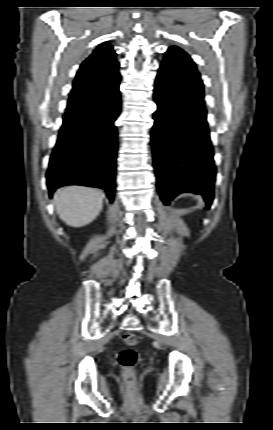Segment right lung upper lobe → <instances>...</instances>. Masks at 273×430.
Wrapping results in <instances>:
<instances>
[{
    "instance_id": "cb5924a9",
    "label": "right lung upper lobe",
    "mask_w": 273,
    "mask_h": 430,
    "mask_svg": "<svg viewBox=\"0 0 273 430\" xmlns=\"http://www.w3.org/2000/svg\"><path fill=\"white\" fill-rule=\"evenodd\" d=\"M118 67L112 46L107 42L99 45L77 72L73 83L75 88L69 97L66 112L87 103L90 89L101 85L104 80L120 76Z\"/></svg>"
}]
</instances>
